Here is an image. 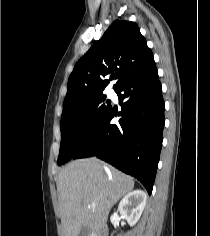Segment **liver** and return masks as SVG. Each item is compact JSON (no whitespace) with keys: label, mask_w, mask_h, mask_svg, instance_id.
I'll return each instance as SVG.
<instances>
[{"label":"liver","mask_w":210,"mask_h":236,"mask_svg":"<svg viewBox=\"0 0 210 236\" xmlns=\"http://www.w3.org/2000/svg\"><path fill=\"white\" fill-rule=\"evenodd\" d=\"M133 188L132 177L95 157L69 163L57 178L64 236H78L84 226L89 234L100 232L112 206Z\"/></svg>","instance_id":"1"}]
</instances>
